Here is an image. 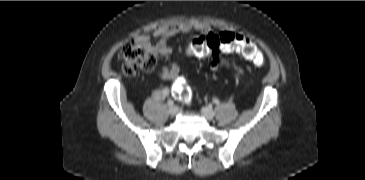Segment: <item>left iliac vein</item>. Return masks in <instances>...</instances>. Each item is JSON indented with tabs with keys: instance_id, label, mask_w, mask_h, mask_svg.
<instances>
[{
	"instance_id": "1",
	"label": "left iliac vein",
	"mask_w": 365,
	"mask_h": 180,
	"mask_svg": "<svg viewBox=\"0 0 365 180\" xmlns=\"http://www.w3.org/2000/svg\"><path fill=\"white\" fill-rule=\"evenodd\" d=\"M201 113L202 115L207 119V120H212L214 117H215V113L214 111L212 110L211 107H203L201 109Z\"/></svg>"
}]
</instances>
